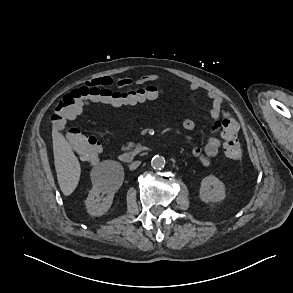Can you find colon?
Listing matches in <instances>:
<instances>
[{"label":"colon","instance_id":"colon-1","mask_svg":"<svg viewBox=\"0 0 293 293\" xmlns=\"http://www.w3.org/2000/svg\"><path fill=\"white\" fill-rule=\"evenodd\" d=\"M149 92L151 89L147 88L119 91L107 83H94L77 88L65 94L56 103L52 115L53 126L57 129H64L66 122L78 116L86 103L121 104L140 99ZM238 129V123L234 118L228 117L222 121L223 149L226 156L231 159H239L242 155ZM65 136L83 161L95 163L98 160L101 146L94 136L86 134L76 127L67 128Z\"/></svg>","mask_w":293,"mask_h":293}]
</instances>
